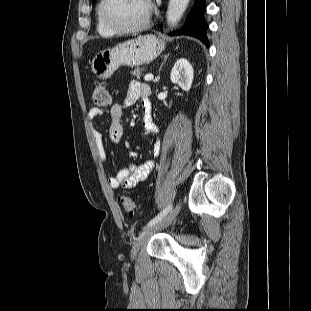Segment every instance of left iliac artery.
<instances>
[{
  "instance_id": "44dca946",
  "label": "left iliac artery",
  "mask_w": 311,
  "mask_h": 311,
  "mask_svg": "<svg viewBox=\"0 0 311 311\" xmlns=\"http://www.w3.org/2000/svg\"><path fill=\"white\" fill-rule=\"evenodd\" d=\"M171 208H172V205L169 204L163 211H161L157 216H155L153 219L149 221V223L147 224V227L152 226L153 224H155L156 222L164 218L169 213Z\"/></svg>"
}]
</instances>
